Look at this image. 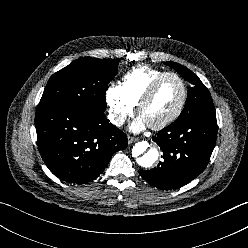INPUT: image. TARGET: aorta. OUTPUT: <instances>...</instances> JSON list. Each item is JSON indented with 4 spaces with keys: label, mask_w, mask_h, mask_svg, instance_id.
<instances>
[{
    "label": "aorta",
    "mask_w": 248,
    "mask_h": 248,
    "mask_svg": "<svg viewBox=\"0 0 248 248\" xmlns=\"http://www.w3.org/2000/svg\"><path fill=\"white\" fill-rule=\"evenodd\" d=\"M132 156L136 158L138 165L149 168L158 160L159 151L150 147L147 141H141L133 146Z\"/></svg>",
    "instance_id": "1"
}]
</instances>
